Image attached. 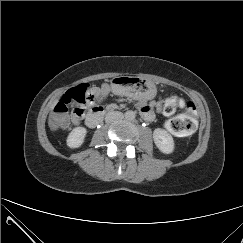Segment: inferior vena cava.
<instances>
[{
    "instance_id": "1",
    "label": "inferior vena cava",
    "mask_w": 243,
    "mask_h": 243,
    "mask_svg": "<svg viewBox=\"0 0 243 243\" xmlns=\"http://www.w3.org/2000/svg\"><path fill=\"white\" fill-rule=\"evenodd\" d=\"M123 117V114L120 112H109L106 117L105 120L106 122L110 123L113 122L114 120L120 119Z\"/></svg>"
}]
</instances>
